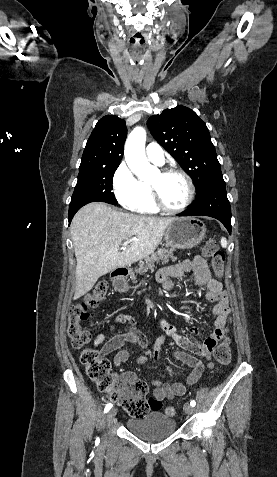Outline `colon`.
Wrapping results in <instances>:
<instances>
[{
	"label": "colon",
	"instance_id": "obj_1",
	"mask_svg": "<svg viewBox=\"0 0 277 477\" xmlns=\"http://www.w3.org/2000/svg\"><path fill=\"white\" fill-rule=\"evenodd\" d=\"M202 255L209 259L217 277H222L224 268V255L219 250L214 240H208L201 247ZM108 290L106 282H99L78 304L71 308L68 315L67 333L76 349H82L81 362L85 367L88 378L102 392L109 395L110 399L120 405L129 415L140 418L151 410H159L162 402L153 398L147 399L148 387L146 383L135 380L122 383L117 388L116 376L111 370L110 362L97 350L86 348L91 340L90 333L83 329L80 323L92 316V310L104 301ZM232 323L231 319L227 320ZM214 357L220 365H227L231 360V341L225 336L222 342L214 349ZM168 416H174L176 409L168 406L165 409Z\"/></svg>",
	"mask_w": 277,
	"mask_h": 477
}]
</instances>
